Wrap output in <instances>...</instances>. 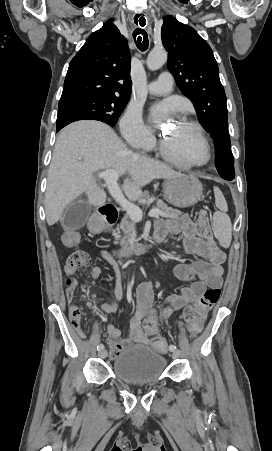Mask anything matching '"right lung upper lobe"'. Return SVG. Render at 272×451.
<instances>
[{
	"instance_id": "cb5924a9",
	"label": "right lung upper lobe",
	"mask_w": 272,
	"mask_h": 451,
	"mask_svg": "<svg viewBox=\"0 0 272 451\" xmlns=\"http://www.w3.org/2000/svg\"><path fill=\"white\" fill-rule=\"evenodd\" d=\"M130 52L127 40L107 21L92 33L69 64L60 100L83 96L130 98Z\"/></svg>"
}]
</instances>
